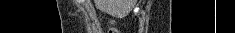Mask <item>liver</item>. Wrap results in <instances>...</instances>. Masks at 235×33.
<instances>
[{
  "instance_id": "obj_1",
  "label": "liver",
  "mask_w": 235,
  "mask_h": 33,
  "mask_svg": "<svg viewBox=\"0 0 235 33\" xmlns=\"http://www.w3.org/2000/svg\"><path fill=\"white\" fill-rule=\"evenodd\" d=\"M95 7L109 15H128L136 4L135 0H94Z\"/></svg>"
}]
</instances>
